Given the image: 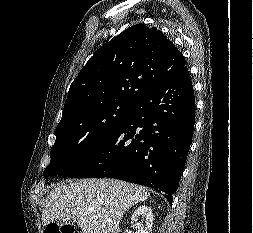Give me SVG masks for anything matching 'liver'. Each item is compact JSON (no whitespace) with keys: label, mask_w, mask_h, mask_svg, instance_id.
I'll use <instances>...</instances> for the list:
<instances>
[{"label":"liver","mask_w":253,"mask_h":233,"mask_svg":"<svg viewBox=\"0 0 253 233\" xmlns=\"http://www.w3.org/2000/svg\"><path fill=\"white\" fill-rule=\"evenodd\" d=\"M150 196L149 189L114 179L66 181L46 197L42 223L72 222L82 233H119L123 214Z\"/></svg>","instance_id":"6515ba94"}]
</instances>
